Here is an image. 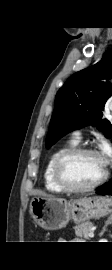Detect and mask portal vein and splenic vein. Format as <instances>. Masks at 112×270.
<instances>
[{"label": "portal vein and splenic vein", "instance_id": "obj_1", "mask_svg": "<svg viewBox=\"0 0 112 270\" xmlns=\"http://www.w3.org/2000/svg\"><path fill=\"white\" fill-rule=\"evenodd\" d=\"M89 237H90V238H93V237H94V232H93V231H91V232L89 233Z\"/></svg>", "mask_w": 112, "mask_h": 270}]
</instances>
